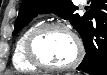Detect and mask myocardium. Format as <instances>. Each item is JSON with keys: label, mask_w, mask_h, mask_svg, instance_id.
Masks as SVG:
<instances>
[{"label": "myocardium", "mask_w": 107, "mask_h": 75, "mask_svg": "<svg viewBox=\"0 0 107 75\" xmlns=\"http://www.w3.org/2000/svg\"><path fill=\"white\" fill-rule=\"evenodd\" d=\"M60 30L67 33L74 41L76 53L74 59L65 65H52L44 61L36 51V43L38 39L48 31ZM25 56L27 60L37 68L49 71H65L76 67L83 57V46L79 38L64 24L51 22L38 25L31 31L25 41Z\"/></svg>", "instance_id": "obj_1"}]
</instances>
